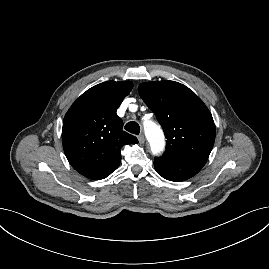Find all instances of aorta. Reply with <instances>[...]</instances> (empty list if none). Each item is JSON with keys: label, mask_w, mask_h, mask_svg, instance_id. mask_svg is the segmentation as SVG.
<instances>
[{"label": "aorta", "mask_w": 269, "mask_h": 269, "mask_svg": "<svg viewBox=\"0 0 269 269\" xmlns=\"http://www.w3.org/2000/svg\"><path fill=\"white\" fill-rule=\"evenodd\" d=\"M144 132L153 155H159L165 149V138L162 129L153 121H144Z\"/></svg>", "instance_id": "1"}]
</instances>
